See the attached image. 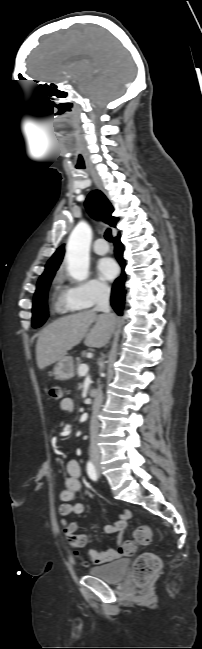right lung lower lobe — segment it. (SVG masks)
Here are the masks:
<instances>
[{"label":"right lung lower lobe","mask_w":202,"mask_h":649,"mask_svg":"<svg viewBox=\"0 0 202 649\" xmlns=\"http://www.w3.org/2000/svg\"><path fill=\"white\" fill-rule=\"evenodd\" d=\"M114 245H115V255L116 258L121 265L122 269L125 267V261L123 259V245L120 242V235L114 238ZM125 273L123 272L120 277H118L113 286H112V292H111V306L114 308V310L117 312L118 315H122V310L124 307V301H125Z\"/></svg>","instance_id":"obj_1"}]
</instances>
